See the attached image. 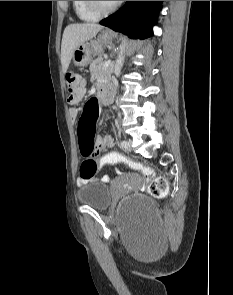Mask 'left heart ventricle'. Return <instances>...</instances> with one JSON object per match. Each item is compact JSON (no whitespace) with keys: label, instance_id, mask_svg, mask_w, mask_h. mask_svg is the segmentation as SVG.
Instances as JSON below:
<instances>
[{"label":"left heart ventricle","instance_id":"obj_1","mask_svg":"<svg viewBox=\"0 0 233 295\" xmlns=\"http://www.w3.org/2000/svg\"><path fill=\"white\" fill-rule=\"evenodd\" d=\"M115 2L116 1H99V4L103 8H108V7L112 6Z\"/></svg>","mask_w":233,"mask_h":295}]
</instances>
